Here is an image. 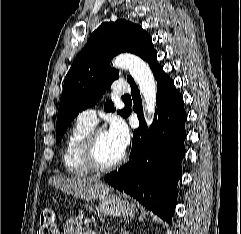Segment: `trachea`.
<instances>
[{
    "instance_id": "trachea-1",
    "label": "trachea",
    "mask_w": 241,
    "mask_h": 234,
    "mask_svg": "<svg viewBox=\"0 0 241 234\" xmlns=\"http://www.w3.org/2000/svg\"><path fill=\"white\" fill-rule=\"evenodd\" d=\"M122 99H123V100H129V99H131V98H130L129 95H125V96L122 97Z\"/></svg>"
}]
</instances>
